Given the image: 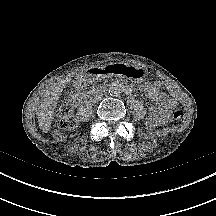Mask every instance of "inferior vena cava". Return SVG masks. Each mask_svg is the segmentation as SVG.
Segmentation results:
<instances>
[{"instance_id":"602c4592","label":"inferior vena cava","mask_w":216,"mask_h":216,"mask_svg":"<svg viewBox=\"0 0 216 216\" xmlns=\"http://www.w3.org/2000/svg\"><path fill=\"white\" fill-rule=\"evenodd\" d=\"M102 98H103V95H100V96H99V100H101Z\"/></svg>"}]
</instances>
